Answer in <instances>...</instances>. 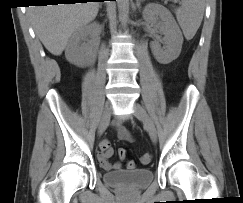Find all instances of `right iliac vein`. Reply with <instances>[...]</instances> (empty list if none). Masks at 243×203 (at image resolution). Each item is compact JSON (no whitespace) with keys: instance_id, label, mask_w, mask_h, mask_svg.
I'll use <instances>...</instances> for the list:
<instances>
[{"instance_id":"right-iliac-vein-1","label":"right iliac vein","mask_w":243,"mask_h":203,"mask_svg":"<svg viewBox=\"0 0 243 203\" xmlns=\"http://www.w3.org/2000/svg\"><path fill=\"white\" fill-rule=\"evenodd\" d=\"M109 121H110V107L109 104H106L98 127L99 134L103 132L105 127L108 125Z\"/></svg>"}]
</instances>
